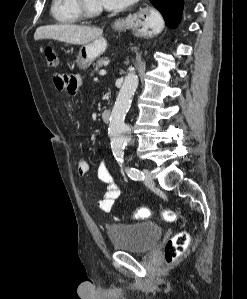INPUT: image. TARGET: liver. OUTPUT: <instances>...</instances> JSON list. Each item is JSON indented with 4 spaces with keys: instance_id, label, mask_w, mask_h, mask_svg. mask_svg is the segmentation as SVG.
Here are the masks:
<instances>
[{
    "instance_id": "6515ba94",
    "label": "liver",
    "mask_w": 247,
    "mask_h": 299,
    "mask_svg": "<svg viewBox=\"0 0 247 299\" xmlns=\"http://www.w3.org/2000/svg\"><path fill=\"white\" fill-rule=\"evenodd\" d=\"M102 35L97 27L79 26L72 24L46 25L36 29L34 39H53L74 45L90 43Z\"/></svg>"
}]
</instances>
